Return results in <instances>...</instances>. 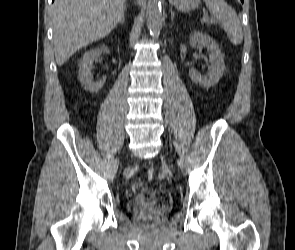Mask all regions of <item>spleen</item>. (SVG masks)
<instances>
[{
	"instance_id": "spleen-1",
	"label": "spleen",
	"mask_w": 295,
	"mask_h": 250,
	"mask_svg": "<svg viewBox=\"0 0 295 250\" xmlns=\"http://www.w3.org/2000/svg\"><path fill=\"white\" fill-rule=\"evenodd\" d=\"M211 15L219 20L233 45L243 41V33L235 10L224 0H204Z\"/></svg>"
}]
</instances>
